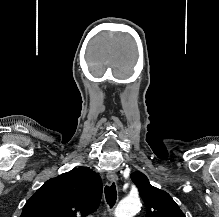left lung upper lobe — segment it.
<instances>
[{"label": "left lung upper lobe", "instance_id": "obj_1", "mask_svg": "<svg viewBox=\"0 0 219 217\" xmlns=\"http://www.w3.org/2000/svg\"><path fill=\"white\" fill-rule=\"evenodd\" d=\"M146 206V217H185L179 206L165 191L152 186L141 172L131 174Z\"/></svg>", "mask_w": 219, "mask_h": 217}]
</instances>
